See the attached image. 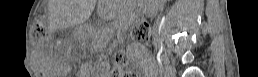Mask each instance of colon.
I'll use <instances>...</instances> for the list:
<instances>
[{"instance_id":"colon-1","label":"colon","mask_w":258,"mask_h":77,"mask_svg":"<svg viewBox=\"0 0 258 77\" xmlns=\"http://www.w3.org/2000/svg\"><path fill=\"white\" fill-rule=\"evenodd\" d=\"M32 36L36 44L43 46L49 42V34L45 21L42 18L35 20L32 28ZM151 37V27L146 22L134 25L130 30V38L135 43H148ZM115 66L122 68L127 63L126 55L119 52L115 58Z\"/></svg>"}]
</instances>
